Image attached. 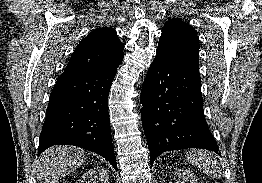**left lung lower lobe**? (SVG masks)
Masks as SVG:
<instances>
[{"label": "left lung lower lobe", "instance_id": "obj_1", "mask_svg": "<svg viewBox=\"0 0 262 183\" xmlns=\"http://www.w3.org/2000/svg\"><path fill=\"white\" fill-rule=\"evenodd\" d=\"M140 103L151 166L163 152L219 148L206 123L198 70L156 54L143 83Z\"/></svg>", "mask_w": 262, "mask_h": 183}]
</instances>
